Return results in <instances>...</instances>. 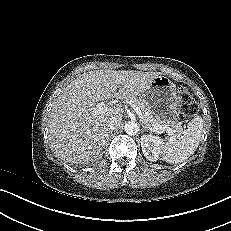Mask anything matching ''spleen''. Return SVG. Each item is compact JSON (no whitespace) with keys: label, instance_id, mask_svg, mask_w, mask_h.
<instances>
[{"label":"spleen","instance_id":"obj_1","mask_svg":"<svg viewBox=\"0 0 231 231\" xmlns=\"http://www.w3.org/2000/svg\"><path fill=\"white\" fill-rule=\"evenodd\" d=\"M202 131L203 119L197 115L188 123L186 130L162 142L160 148L162 159L169 164H178L187 160L198 148Z\"/></svg>","mask_w":231,"mask_h":231}]
</instances>
